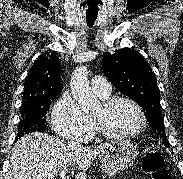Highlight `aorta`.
I'll return each instance as SVG.
<instances>
[{
	"label": "aorta",
	"mask_w": 183,
	"mask_h": 179,
	"mask_svg": "<svg viewBox=\"0 0 183 179\" xmlns=\"http://www.w3.org/2000/svg\"><path fill=\"white\" fill-rule=\"evenodd\" d=\"M70 87L73 97L84 112H89L98 106V100L89 85L88 70L85 66H79L73 71Z\"/></svg>",
	"instance_id": "1"
}]
</instances>
